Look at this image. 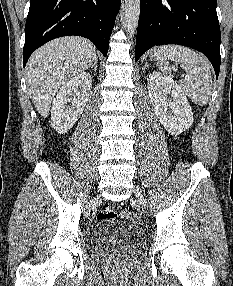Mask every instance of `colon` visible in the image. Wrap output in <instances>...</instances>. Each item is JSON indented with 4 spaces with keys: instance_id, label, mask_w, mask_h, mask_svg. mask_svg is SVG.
Segmentation results:
<instances>
[{
    "instance_id": "obj_1",
    "label": "colon",
    "mask_w": 233,
    "mask_h": 286,
    "mask_svg": "<svg viewBox=\"0 0 233 286\" xmlns=\"http://www.w3.org/2000/svg\"><path fill=\"white\" fill-rule=\"evenodd\" d=\"M116 216H117L116 211L110 206L103 207L100 210V212L98 213V219L99 220L114 219V218H116ZM123 217L126 219H129L131 221L136 220V218L134 216H132L129 212H124Z\"/></svg>"
}]
</instances>
